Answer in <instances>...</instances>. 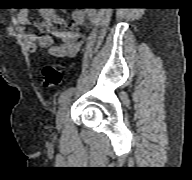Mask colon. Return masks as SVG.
I'll return each instance as SVG.
<instances>
[{
	"instance_id": "1",
	"label": "colon",
	"mask_w": 192,
	"mask_h": 180,
	"mask_svg": "<svg viewBox=\"0 0 192 180\" xmlns=\"http://www.w3.org/2000/svg\"><path fill=\"white\" fill-rule=\"evenodd\" d=\"M42 76L43 82L46 86H55L61 81L60 71L52 65H46L43 67Z\"/></svg>"
}]
</instances>
